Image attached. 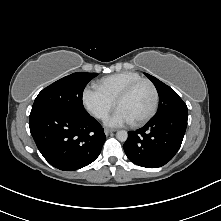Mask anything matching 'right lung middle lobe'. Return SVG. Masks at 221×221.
Instances as JSON below:
<instances>
[{
	"mask_svg": "<svg viewBox=\"0 0 221 221\" xmlns=\"http://www.w3.org/2000/svg\"><path fill=\"white\" fill-rule=\"evenodd\" d=\"M97 73H73L43 89L36 97L30 116L53 109L85 112L82 94L87 83Z\"/></svg>",
	"mask_w": 221,
	"mask_h": 221,
	"instance_id": "dd1d6c3e",
	"label": "right lung middle lobe"
}]
</instances>
